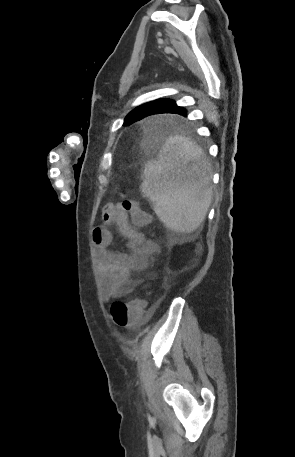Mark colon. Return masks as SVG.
<instances>
[{
  "instance_id": "colon-1",
  "label": "colon",
  "mask_w": 295,
  "mask_h": 457,
  "mask_svg": "<svg viewBox=\"0 0 295 457\" xmlns=\"http://www.w3.org/2000/svg\"><path fill=\"white\" fill-rule=\"evenodd\" d=\"M121 206L124 211L129 213L132 223L138 227L149 223L150 217L144 212L139 204L129 198H124ZM144 314V302L141 299H133L128 302L117 301L111 305V315L115 324L123 328H133L137 326Z\"/></svg>"
}]
</instances>
